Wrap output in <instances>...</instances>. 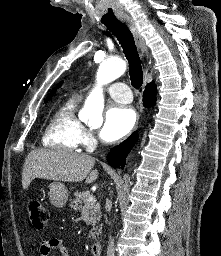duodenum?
<instances>
[{
    "mask_svg": "<svg viewBox=\"0 0 221 256\" xmlns=\"http://www.w3.org/2000/svg\"><path fill=\"white\" fill-rule=\"evenodd\" d=\"M101 244L99 242H94L91 245V252L93 256H100L101 255Z\"/></svg>",
    "mask_w": 221,
    "mask_h": 256,
    "instance_id": "duodenum-1",
    "label": "duodenum"
}]
</instances>
